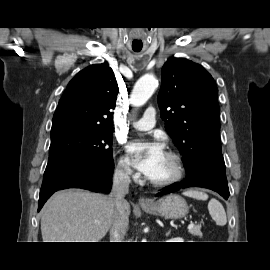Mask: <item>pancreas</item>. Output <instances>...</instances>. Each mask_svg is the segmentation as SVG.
<instances>
[{"instance_id": "1", "label": "pancreas", "mask_w": 270, "mask_h": 270, "mask_svg": "<svg viewBox=\"0 0 270 270\" xmlns=\"http://www.w3.org/2000/svg\"><path fill=\"white\" fill-rule=\"evenodd\" d=\"M189 233L195 236L202 237V232L199 226H194L193 228L189 229Z\"/></svg>"}]
</instances>
